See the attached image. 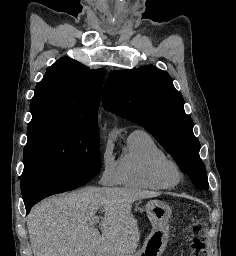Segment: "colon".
<instances>
[{"label": "colon", "instance_id": "obj_1", "mask_svg": "<svg viewBox=\"0 0 236 256\" xmlns=\"http://www.w3.org/2000/svg\"><path fill=\"white\" fill-rule=\"evenodd\" d=\"M191 228L189 234L190 256H206L205 243L203 239L204 223L200 216L191 217Z\"/></svg>", "mask_w": 236, "mask_h": 256}]
</instances>
